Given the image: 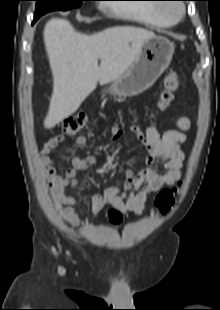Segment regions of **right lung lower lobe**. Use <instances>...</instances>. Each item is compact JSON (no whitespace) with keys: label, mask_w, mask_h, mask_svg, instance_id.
<instances>
[{"label":"right lung lower lobe","mask_w":220,"mask_h":310,"mask_svg":"<svg viewBox=\"0 0 220 310\" xmlns=\"http://www.w3.org/2000/svg\"><path fill=\"white\" fill-rule=\"evenodd\" d=\"M38 18H40V17H38V16H34L33 23H34V22H35Z\"/></svg>","instance_id":"1"}]
</instances>
